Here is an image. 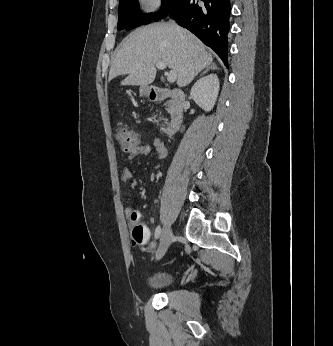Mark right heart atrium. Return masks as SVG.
Listing matches in <instances>:
<instances>
[{
    "instance_id": "obj_1",
    "label": "right heart atrium",
    "mask_w": 333,
    "mask_h": 346,
    "mask_svg": "<svg viewBox=\"0 0 333 346\" xmlns=\"http://www.w3.org/2000/svg\"><path fill=\"white\" fill-rule=\"evenodd\" d=\"M142 4L148 11H153L159 7L161 0H141Z\"/></svg>"
}]
</instances>
